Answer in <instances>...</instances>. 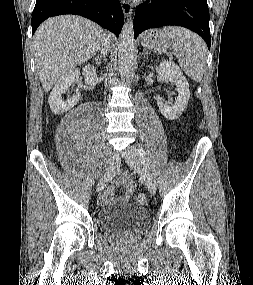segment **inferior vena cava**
<instances>
[{"label":"inferior vena cava","instance_id":"inferior-vena-cava-1","mask_svg":"<svg viewBox=\"0 0 253 285\" xmlns=\"http://www.w3.org/2000/svg\"><path fill=\"white\" fill-rule=\"evenodd\" d=\"M107 51H108L107 41L104 40L102 43L101 54L105 56V54H107Z\"/></svg>","mask_w":253,"mask_h":285}]
</instances>
